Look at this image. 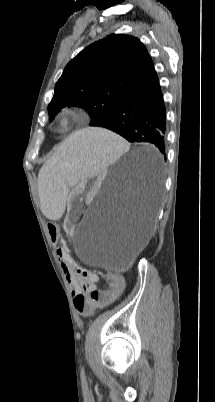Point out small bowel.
<instances>
[{
    "instance_id": "1",
    "label": "small bowel",
    "mask_w": 215,
    "mask_h": 402,
    "mask_svg": "<svg viewBox=\"0 0 215 402\" xmlns=\"http://www.w3.org/2000/svg\"><path fill=\"white\" fill-rule=\"evenodd\" d=\"M57 253L61 260L67 258V254L63 249H58ZM66 274L67 280L70 283L72 292L75 297L78 295H86L91 289H95V284L98 281V277L95 274L88 279H84L71 271H67Z\"/></svg>"
}]
</instances>
